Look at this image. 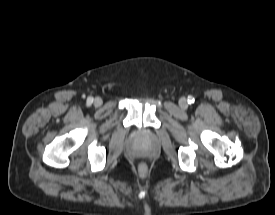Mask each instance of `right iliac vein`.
<instances>
[{"mask_svg": "<svg viewBox=\"0 0 275 215\" xmlns=\"http://www.w3.org/2000/svg\"><path fill=\"white\" fill-rule=\"evenodd\" d=\"M102 99L99 98V97H96L94 100H93V104L95 107H100L102 105Z\"/></svg>", "mask_w": 275, "mask_h": 215, "instance_id": "1", "label": "right iliac vein"}]
</instances>
